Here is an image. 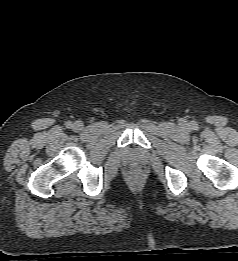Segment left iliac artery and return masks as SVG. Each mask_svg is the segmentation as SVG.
<instances>
[{
    "label": "left iliac artery",
    "mask_w": 238,
    "mask_h": 261,
    "mask_svg": "<svg viewBox=\"0 0 238 261\" xmlns=\"http://www.w3.org/2000/svg\"><path fill=\"white\" fill-rule=\"evenodd\" d=\"M193 127H194V128H197V125H195V124H194V126H193Z\"/></svg>",
    "instance_id": "44dca946"
}]
</instances>
